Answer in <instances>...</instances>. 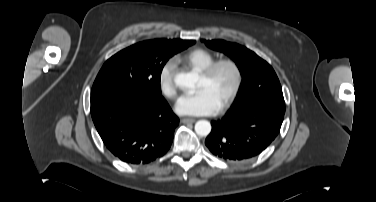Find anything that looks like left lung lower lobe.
I'll list each match as a JSON object with an SVG mask.
<instances>
[{
    "mask_svg": "<svg viewBox=\"0 0 376 202\" xmlns=\"http://www.w3.org/2000/svg\"><path fill=\"white\" fill-rule=\"evenodd\" d=\"M284 113L253 105L241 112L229 111L222 119L212 121L206 146L217 157L239 162L255 157L277 137Z\"/></svg>",
    "mask_w": 376,
    "mask_h": 202,
    "instance_id": "obj_1",
    "label": "left lung lower lobe"
}]
</instances>
